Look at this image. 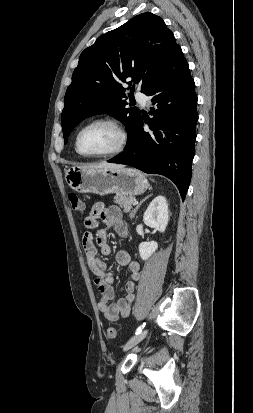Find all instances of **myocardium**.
<instances>
[{
  "label": "myocardium",
  "mask_w": 253,
  "mask_h": 413,
  "mask_svg": "<svg viewBox=\"0 0 253 413\" xmlns=\"http://www.w3.org/2000/svg\"><path fill=\"white\" fill-rule=\"evenodd\" d=\"M95 124H107L111 127H113L118 135H119V142L117 144V146L108 151V152H104V153H99V154H86L83 153L80 149L79 146V141H80V136L82 134V132ZM128 140H129V136L128 133L126 131V129L124 128V126L116 119L114 118H110V117H99V118H95L93 120H90L89 122H87L86 124H84L77 132L76 137H75V150L76 152L85 158H104V157H110V156H115L121 152H123L128 144Z\"/></svg>",
  "instance_id": "obj_1"
}]
</instances>
